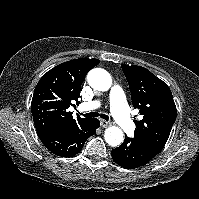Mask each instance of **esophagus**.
Masks as SVG:
<instances>
[{"label": "esophagus", "instance_id": "esophagus-1", "mask_svg": "<svg viewBox=\"0 0 199 199\" xmlns=\"http://www.w3.org/2000/svg\"><path fill=\"white\" fill-rule=\"evenodd\" d=\"M101 126L103 127V128H106V127H108L109 125H110V123L109 122H107V121H105V120H101Z\"/></svg>", "mask_w": 199, "mask_h": 199}]
</instances>
